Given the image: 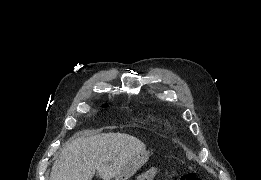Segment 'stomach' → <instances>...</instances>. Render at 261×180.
<instances>
[{"label": "stomach", "mask_w": 261, "mask_h": 180, "mask_svg": "<svg viewBox=\"0 0 261 180\" xmlns=\"http://www.w3.org/2000/svg\"><path fill=\"white\" fill-rule=\"evenodd\" d=\"M148 158L149 152L147 151L136 154L123 166L113 180H128L148 161Z\"/></svg>", "instance_id": "stomach-1"}]
</instances>
